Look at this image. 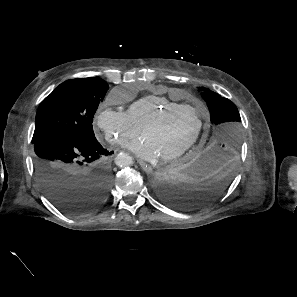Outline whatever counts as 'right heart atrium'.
Wrapping results in <instances>:
<instances>
[{
  "instance_id": "d8ad5b80",
  "label": "right heart atrium",
  "mask_w": 297,
  "mask_h": 297,
  "mask_svg": "<svg viewBox=\"0 0 297 297\" xmlns=\"http://www.w3.org/2000/svg\"><path fill=\"white\" fill-rule=\"evenodd\" d=\"M114 104L115 98L110 96L100 105L95 116L96 127L111 144L125 146L138 135L139 128Z\"/></svg>"
}]
</instances>
